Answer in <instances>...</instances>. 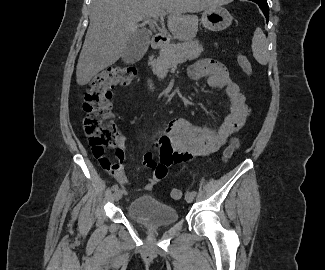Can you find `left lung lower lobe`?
Returning a JSON list of instances; mask_svg holds the SVG:
<instances>
[{"label": "left lung lower lobe", "mask_w": 325, "mask_h": 270, "mask_svg": "<svg viewBox=\"0 0 325 270\" xmlns=\"http://www.w3.org/2000/svg\"><path fill=\"white\" fill-rule=\"evenodd\" d=\"M255 3H257L260 7V9L262 10V12L264 13L267 23H268V19H269V7L267 4V0H251Z\"/></svg>", "instance_id": "obj_1"}]
</instances>
